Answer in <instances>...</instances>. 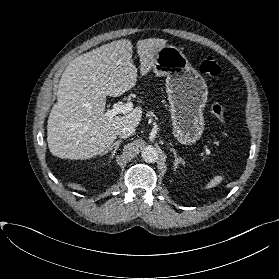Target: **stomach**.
Here are the masks:
<instances>
[{
	"mask_svg": "<svg viewBox=\"0 0 279 279\" xmlns=\"http://www.w3.org/2000/svg\"><path fill=\"white\" fill-rule=\"evenodd\" d=\"M153 70L157 76H166L174 137L181 144H194L205 125L208 88L204 78L179 48L167 44L156 52Z\"/></svg>",
	"mask_w": 279,
	"mask_h": 279,
	"instance_id": "obj_1",
	"label": "stomach"
}]
</instances>
